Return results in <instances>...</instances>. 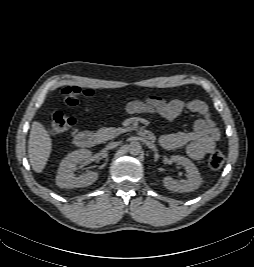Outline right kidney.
<instances>
[{
  "label": "right kidney",
  "instance_id": "ca27d5eb",
  "mask_svg": "<svg viewBox=\"0 0 254 267\" xmlns=\"http://www.w3.org/2000/svg\"><path fill=\"white\" fill-rule=\"evenodd\" d=\"M91 151L80 149L69 153L60 163L56 175V184L61 188L87 187L98 179L97 172H88L79 177L74 176L75 166L80 161L90 159Z\"/></svg>",
  "mask_w": 254,
  "mask_h": 267
}]
</instances>
